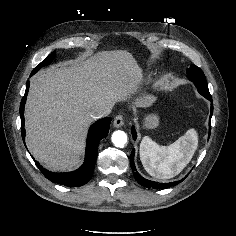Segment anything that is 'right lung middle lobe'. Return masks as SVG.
Returning <instances> with one entry per match:
<instances>
[{"label": "right lung middle lobe", "instance_id": "dd1d6c3e", "mask_svg": "<svg viewBox=\"0 0 236 236\" xmlns=\"http://www.w3.org/2000/svg\"><path fill=\"white\" fill-rule=\"evenodd\" d=\"M55 58V52L51 53L46 59H44L35 69L32 71V74H35L41 67L49 65Z\"/></svg>", "mask_w": 236, "mask_h": 236}]
</instances>
